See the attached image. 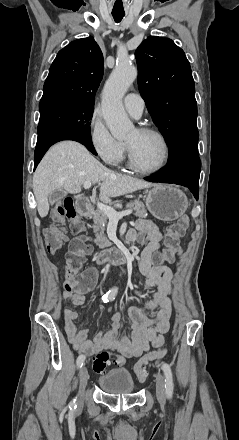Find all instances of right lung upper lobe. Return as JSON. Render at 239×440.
Here are the masks:
<instances>
[{
    "label": "right lung upper lobe",
    "instance_id": "right-lung-upper-lobe-1",
    "mask_svg": "<svg viewBox=\"0 0 239 440\" xmlns=\"http://www.w3.org/2000/svg\"><path fill=\"white\" fill-rule=\"evenodd\" d=\"M103 76V55L93 37L69 43L53 61L40 103L72 99L94 106V97Z\"/></svg>",
    "mask_w": 239,
    "mask_h": 440
}]
</instances>
